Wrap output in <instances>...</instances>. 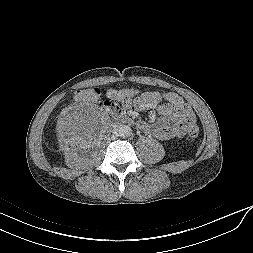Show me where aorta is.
<instances>
[{
  "mask_svg": "<svg viewBox=\"0 0 253 253\" xmlns=\"http://www.w3.org/2000/svg\"><path fill=\"white\" fill-rule=\"evenodd\" d=\"M117 132L121 137H128L132 133V129L128 125H121L117 128Z\"/></svg>",
  "mask_w": 253,
  "mask_h": 253,
  "instance_id": "obj_1",
  "label": "aorta"
}]
</instances>
